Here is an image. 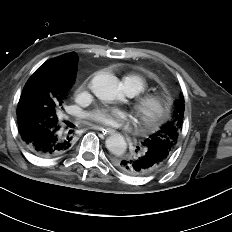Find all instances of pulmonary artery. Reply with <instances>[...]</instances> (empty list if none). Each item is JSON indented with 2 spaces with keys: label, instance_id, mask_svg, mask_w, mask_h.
<instances>
[{
  "label": "pulmonary artery",
  "instance_id": "obj_1",
  "mask_svg": "<svg viewBox=\"0 0 232 232\" xmlns=\"http://www.w3.org/2000/svg\"><path fill=\"white\" fill-rule=\"evenodd\" d=\"M123 86H124V89L126 90V92L129 94V95H135V91L134 89L126 86L124 83H123Z\"/></svg>",
  "mask_w": 232,
  "mask_h": 232
}]
</instances>
